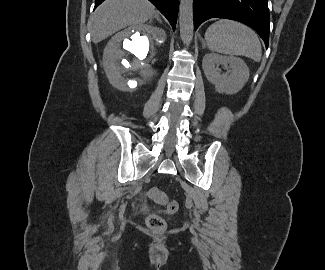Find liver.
<instances>
[{
  "label": "liver",
  "mask_w": 325,
  "mask_h": 270,
  "mask_svg": "<svg viewBox=\"0 0 325 270\" xmlns=\"http://www.w3.org/2000/svg\"><path fill=\"white\" fill-rule=\"evenodd\" d=\"M155 14V7L147 0H106L90 20L92 41L99 43L121 29L140 25Z\"/></svg>",
  "instance_id": "6515ba94"
}]
</instances>
